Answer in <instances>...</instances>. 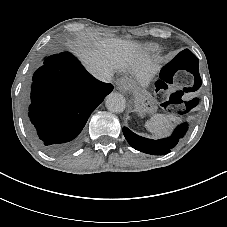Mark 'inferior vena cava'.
Returning <instances> with one entry per match:
<instances>
[{"mask_svg": "<svg viewBox=\"0 0 227 227\" xmlns=\"http://www.w3.org/2000/svg\"><path fill=\"white\" fill-rule=\"evenodd\" d=\"M95 77L104 83H112L113 73H112V71L107 70L105 72L95 74Z\"/></svg>", "mask_w": 227, "mask_h": 227, "instance_id": "inferior-vena-cava-1", "label": "inferior vena cava"}]
</instances>
